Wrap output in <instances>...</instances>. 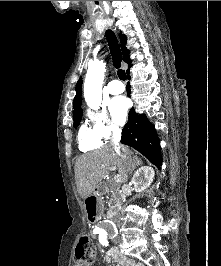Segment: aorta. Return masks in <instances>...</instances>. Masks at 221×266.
I'll use <instances>...</instances> for the list:
<instances>
[{
	"instance_id": "1",
	"label": "aorta",
	"mask_w": 221,
	"mask_h": 266,
	"mask_svg": "<svg viewBox=\"0 0 221 266\" xmlns=\"http://www.w3.org/2000/svg\"><path fill=\"white\" fill-rule=\"evenodd\" d=\"M105 73V63L95 61L88 67L84 82V98L91 109L97 110L102 100V84Z\"/></svg>"
}]
</instances>
